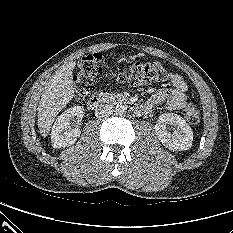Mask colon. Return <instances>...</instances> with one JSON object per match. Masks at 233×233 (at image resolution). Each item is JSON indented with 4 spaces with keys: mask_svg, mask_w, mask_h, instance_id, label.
Wrapping results in <instances>:
<instances>
[{
    "mask_svg": "<svg viewBox=\"0 0 233 233\" xmlns=\"http://www.w3.org/2000/svg\"><path fill=\"white\" fill-rule=\"evenodd\" d=\"M104 76L103 56L94 53L83 57L74 76V96L78 101L85 100L93 91L94 84ZM110 77L118 82H128L133 85L164 82L171 78V74L159 62H136L129 68L114 71ZM185 117L191 124L200 119V110L195 103L190 102L185 108Z\"/></svg>",
    "mask_w": 233,
    "mask_h": 233,
    "instance_id": "1",
    "label": "colon"
}]
</instances>
